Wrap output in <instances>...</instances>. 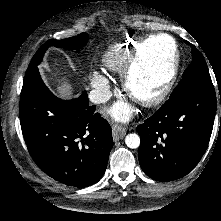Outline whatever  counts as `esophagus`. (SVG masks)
Returning a JSON list of instances; mask_svg holds the SVG:
<instances>
[{"label": "esophagus", "instance_id": "esophagus-1", "mask_svg": "<svg viewBox=\"0 0 221 221\" xmlns=\"http://www.w3.org/2000/svg\"><path fill=\"white\" fill-rule=\"evenodd\" d=\"M125 134L126 131L121 125L115 123L112 125V135L114 141L122 139L125 136Z\"/></svg>", "mask_w": 221, "mask_h": 221}]
</instances>
